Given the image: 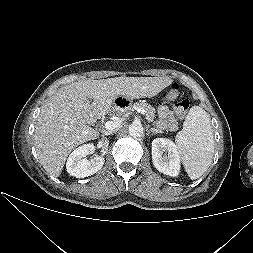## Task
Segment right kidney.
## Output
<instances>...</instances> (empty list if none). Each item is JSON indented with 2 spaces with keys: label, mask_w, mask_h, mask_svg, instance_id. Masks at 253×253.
I'll use <instances>...</instances> for the list:
<instances>
[{
  "label": "right kidney",
  "mask_w": 253,
  "mask_h": 253,
  "mask_svg": "<svg viewBox=\"0 0 253 253\" xmlns=\"http://www.w3.org/2000/svg\"><path fill=\"white\" fill-rule=\"evenodd\" d=\"M94 150V145L90 143L76 148L67 160V172L77 178L88 177L98 172L105 162L104 157L96 156L91 160L86 159V156L92 154Z\"/></svg>",
  "instance_id": "obj_1"
}]
</instances>
